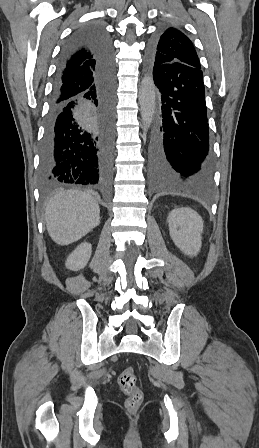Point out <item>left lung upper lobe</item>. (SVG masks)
<instances>
[{
  "label": "left lung upper lobe",
  "instance_id": "5c2ea615",
  "mask_svg": "<svg viewBox=\"0 0 259 448\" xmlns=\"http://www.w3.org/2000/svg\"><path fill=\"white\" fill-rule=\"evenodd\" d=\"M150 59L157 65L179 62L201 69L200 61L192 41L175 27H166L152 41Z\"/></svg>",
  "mask_w": 259,
  "mask_h": 448
}]
</instances>
